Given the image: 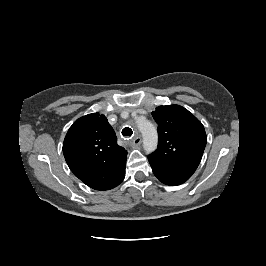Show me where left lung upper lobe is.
<instances>
[{
  "mask_svg": "<svg viewBox=\"0 0 266 266\" xmlns=\"http://www.w3.org/2000/svg\"><path fill=\"white\" fill-rule=\"evenodd\" d=\"M158 124V147L148 156L154 175L164 184L180 185L197 169L207 137L202 123L179 105L152 112Z\"/></svg>",
  "mask_w": 266,
  "mask_h": 266,
  "instance_id": "left-lung-upper-lobe-1",
  "label": "left lung upper lobe"
}]
</instances>
